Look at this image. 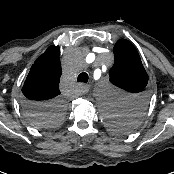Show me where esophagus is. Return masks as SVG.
Listing matches in <instances>:
<instances>
[{
	"instance_id": "obj_1",
	"label": "esophagus",
	"mask_w": 174,
	"mask_h": 174,
	"mask_svg": "<svg viewBox=\"0 0 174 174\" xmlns=\"http://www.w3.org/2000/svg\"><path fill=\"white\" fill-rule=\"evenodd\" d=\"M90 87L89 85H82V92L87 93L89 91Z\"/></svg>"
}]
</instances>
